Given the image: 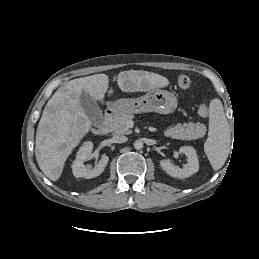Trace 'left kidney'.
I'll use <instances>...</instances> for the list:
<instances>
[{"label": "left kidney", "mask_w": 259, "mask_h": 259, "mask_svg": "<svg viewBox=\"0 0 259 259\" xmlns=\"http://www.w3.org/2000/svg\"><path fill=\"white\" fill-rule=\"evenodd\" d=\"M179 151L186 155L187 164L183 168H179L171 163L170 159L160 161V166L167 174L175 178H186L199 170V160L196 150L191 146H182Z\"/></svg>", "instance_id": "5707ae66"}]
</instances>
